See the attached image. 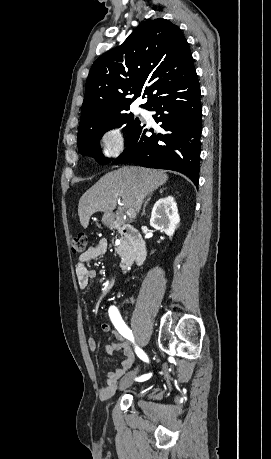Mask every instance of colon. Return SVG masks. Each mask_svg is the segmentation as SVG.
Segmentation results:
<instances>
[{"label":"colon","instance_id":"5ec220e1","mask_svg":"<svg viewBox=\"0 0 271 459\" xmlns=\"http://www.w3.org/2000/svg\"><path fill=\"white\" fill-rule=\"evenodd\" d=\"M88 237L85 233H79L72 241V251L74 253H84L87 246Z\"/></svg>","mask_w":271,"mask_h":459}]
</instances>
